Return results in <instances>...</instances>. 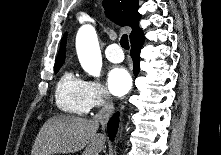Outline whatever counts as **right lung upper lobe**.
I'll return each instance as SVG.
<instances>
[{
    "label": "right lung upper lobe",
    "mask_w": 221,
    "mask_h": 155,
    "mask_svg": "<svg viewBox=\"0 0 221 155\" xmlns=\"http://www.w3.org/2000/svg\"><path fill=\"white\" fill-rule=\"evenodd\" d=\"M103 6L107 15L120 26H130V40L136 36L139 28L140 14L138 13V0H103ZM66 36L63 37L61 48L56 59L55 66L62 65L65 58Z\"/></svg>",
    "instance_id": "1"
}]
</instances>
